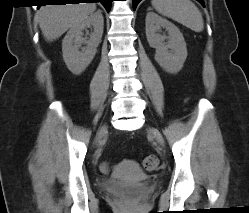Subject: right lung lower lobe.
Returning a JSON list of instances; mask_svg holds the SVG:
<instances>
[{
    "label": "right lung lower lobe",
    "instance_id": "right-lung-lower-lobe-1",
    "mask_svg": "<svg viewBox=\"0 0 249 213\" xmlns=\"http://www.w3.org/2000/svg\"><path fill=\"white\" fill-rule=\"evenodd\" d=\"M82 1H90L91 3L101 2L105 6L106 10L109 11L111 8V2L113 0H46V2H51V3L58 4V5L65 4V3H78L79 4ZM38 7H40V6H38Z\"/></svg>",
    "mask_w": 249,
    "mask_h": 213
}]
</instances>
